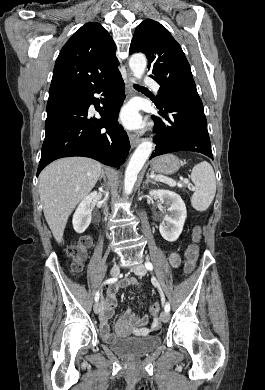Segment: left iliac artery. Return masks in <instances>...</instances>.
Wrapping results in <instances>:
<instances>
[{
  "instance_id": "left-iliac-artery-1",
  "label": "left iliac artery",
  "mask_w": 265,
  "mask_h": 390,
  "mask_svg": "<svg viewBox=\"0 0 265 390\" xmlns=\"http://www.w3.org/2000/svg\"><path fill=\"white\" fill-rule=\"evenodd\" d=\"M145 267H146L148 270H150V271L153 270V265H152V263L149 262V261H147V262L145 263ZM153 283H154L155 287L158 288L159 293H160L162 299H164L163 292H162V290H161V288H160V285H159V283L157 282V280L153 281ZM164 309H165L166 312H169V311H170V304H169V303H166Z\"/></svg>"
}]
</instances>
